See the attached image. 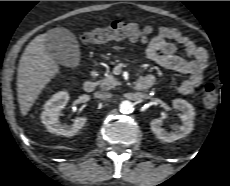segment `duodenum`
Returning a JSON list of instances; mask_svg holds the SVG:
<instances>
[{
	"label": "duodenum",
	"mask_w": 230,
	"mask_h": 186,
	"mask_svg": "<svg viewBox=\"0 0 230 186\" xmlns=\"http://www.w3.org/2000/svg\"><path fill=\"white\" fill-rule=\"evenodd\" d=\"M153 83H154L153 79L149 77L140 78L134 83V88L136 90H146L150 88L153 85ZM96 87H97V83L94 80H88L83 84L84 90L88 93L95 91Z\"/></svg>",
	"instance_id": "obj_1"
}]
</instances>
